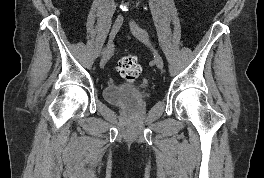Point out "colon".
I'll use <instances>...</instances> for the list:
<instances>
[{
  "instance_id": "obj_1",
  "label": "colon",
  "mask_w": 264,
  "mask_h": 178,
  "mask_svg": "<svg viewBox=\"0 0 264 178\" xmlns=\"http://www.w3.org/2000/svg\"><path fill=\"white\" fill-rule=\"evenodd\" d=\"M119 74L129 82H134L141 73V65L134 55L122 57L117 64Z\"/></svg>"
}]
</instances>
